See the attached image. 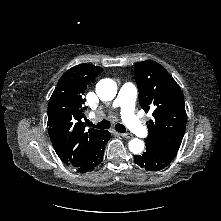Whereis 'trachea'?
Listing matches in <instances>:
<instances>
[{
	"mask_svg": "<svg viewBox=\"0 0 221 221\" xmlns=\"http://www.w3.org/2000/svg\"><path fill=\"white\" fill-rule=\"evenodd\" d=\"M87 125L91 126V127H95L97 129H108L110 128V122L108 120H102L101 122H99L98 124H93L92 122H90L89 120H87ZM115 129L116 131L120 132V133H125L126 132V128L124 125L117 123L115 125Z\"/></svg>",
	"mask_w": 221,
	"mask_h": 221,
	"instance_id": "3493384b",
	"label": "trachea"
}]
</instances>
